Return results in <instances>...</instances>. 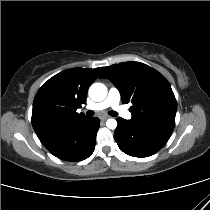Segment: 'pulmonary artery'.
Instances as JSON below:
<instances>
[{
	"label": "pulmonary artery",
	"mask_w": 210,
	"mask_h": 210,
	"mask_svg": "<svg viewBox=\"0 0 210 210\" xmlns=\"http://www.w3.org/2000/svg\"><path fill=\"white\" fill-rule=\"evenodd\" d=\"M108 107L113 108L121 117L125 119H130L132 117L131 113L120 105V93L116 88L110 89L108 96L104 101L90 105L87 108L90 110H103Z\"/></svg>",
	"instance_id": "1"
}]
</instances>
